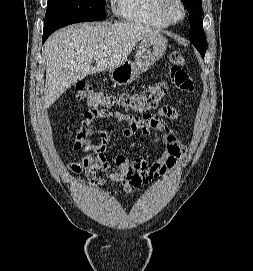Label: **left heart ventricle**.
I'll return each instance as SVG.
<instances>
[{
	"label": "left heart ventricle",
	"mask_w": 253,
	"mask_h": 271,
	"mask_svg": "<svg viewBox=\"0 0 253 271\" xmlns=\"http://www.w3.org/2000/svg\"><path fill=\"white\" fill-rule=\"evenodd\" d=\"M169 11L174 18H179L182 14L181 8L177 3H171L169 5Z\"/></svg>",
	"instance_id": "b2bd125f"
}]
</instances>
